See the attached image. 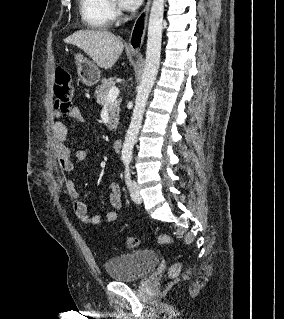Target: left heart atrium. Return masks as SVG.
<instances>
[{
	"mask_svg": "<svg viewBox=\"0 0 284 319\" xmlns=\"http://www.w3.org/2000/svg\"><path fill=\"white\" fill-rule=\"evenodd\" d=\"M143 0H118L119 6L127 11H133L137 9Z\"/></svg>",
	"mask_w": 284,
	"mask_h": 319,
	"instance_id": "1",
	"label": "left heart atrium"
}]
</instances>
